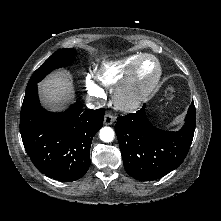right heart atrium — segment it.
Masks as SVG:
<instances>
[{
	"label": "right heart atrium",
	"instance_id": "1",
	"mask_svg": "<svg viewBox=\"0 0 221 221\" xmlns=\"http://www.w3.org/2000/svg\"><path fill=\"white\" fill-rule=\"evenodd\" d=\"M86 88L88 93L96 98H102L103 97V91L102 89L92 80V78L88 75L85 80Z\"/></svg>",
	"mask_w": 221,
	"mask_h": 221
}]
</instances>
